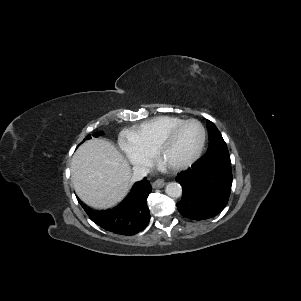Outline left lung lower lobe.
Returning <instances> with one entry per match:
<instances>
[{"instance_id": "0a47b994", "label": "left lung lower lobe", "mask_w": 301, "mask_h": 301, "mask_svg": "<svg viewBox=\"0 0 301 301\" xmlns=\"http://www.w3.org/2000/svg\"><path fill=\"white\" fill-rule=\"evenodd\" d=\"M176 180L183 189L177 203L179 212L192 220L212 218L227 205L232 186L231 161L224 157L200 158Z\"/></svg>"}]
</instances>
